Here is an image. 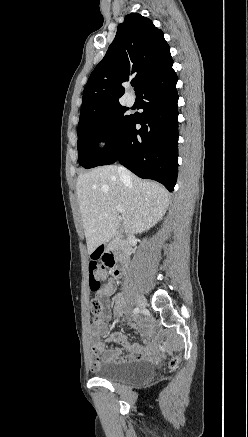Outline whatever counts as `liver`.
<instances>
[{"label": "liver", "instance_id": "liver-1", "mask_svg": "<svg viewBox=\"0 0 248 437\" xmlns=\"http://www.w3.org/2000/svg\"><path fill=\"white\" fill-rule=\"evenodd\" d=\"M76 187L89 254L116 235L117 205L124 208L125 230L134 234L155 226L169 205L168 192L163 186L130 172L123 178L114 165L80 174Z\"/></svg>", "mask_w": 248, "mask_h": 437}]
</instances>
